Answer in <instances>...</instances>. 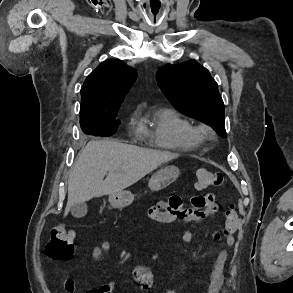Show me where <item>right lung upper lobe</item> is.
<instances>
[{
  "instance_id": "right-lung-upper-lobe-1",
  "label": "right lung upper lobe",
  "mask_w": 293,
  "mask_h": 293,
  "mask_svg": "<svg viewBox=\"0 0 293 293\" xmlns=\"http://www.w3.org/2000/svg\"><path fill=\"white\" fill-rule=\"evenodd\" d=\"M136 78V70L120 60L102 62L90 73L81 88L80 115L118 112Z\"/></svg>"
}]
</instances>
